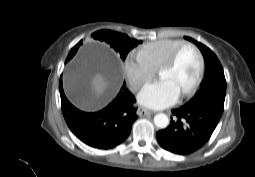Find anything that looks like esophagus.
<instances>
[{"mask_svg": "<svg viewBox=\"0 0 255 177\" xmlns=\"http://www.w3.org/2000/svg\"><path fill=\"white\" fill-rule=\"evenodd\" d=\"M153 113H155V112L150 109L143 108V107H139L137 109V115L140 117L152 115Z\"/></svg>", "mask_w": 255, "mask_h": 177, "instance_id": "esophagus-1", "label": "esophagus"}]
</instances>
